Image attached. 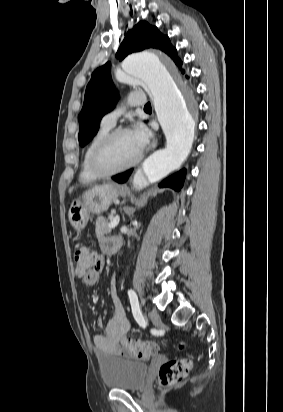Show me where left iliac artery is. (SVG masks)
<instances>
[{
	"instance_id": "left-iliac-artery-1",
	"label": "left iliac artery",
	"mask_w": 283,
	"mask_h": 412,
	"mask_svg": "<svg viewBox=\"0 0 283 412\" xmlns=\"http://www.w3.org/2000/svg\"><path fill=\"white\" fill-rule=\"evenodd\" d=\"M128 296H129L131 309H132V314L134 316V319L136 320V322L140 326L145 327L146 322H145V319H144V317L142 315V312L140 310L138 297H137L135 291H133L132 289L128 290Z\"/></svg>"
}]
</instances>
